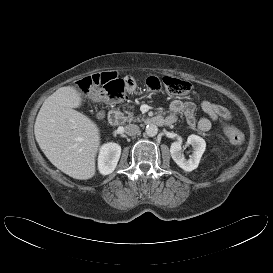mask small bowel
<instances>
[{
    "instance_id": "obj_1",
    "label": "small bowel",
    "mask_w": 273,
    "mask_h": 273,
    "mask_svg": "<svg viewBox=\"0 0 273 273\" xmlns=\"http://www.w3.org/2000/svg\"><path fill=\"white\" fill-rule=\"evenodd\" d=\"M200 109L208 116L196 120V105L191 101H183L180 99L173 100L169 105L170 114L167 115L173 124L177 121L178 115L182 114L186 118L190 126H197L199 130L207 132L211 129L212 123L219 120H230V112L223 106L214 104L209 100H202L200 102Z\"/></svg>"
}]
</instances>
